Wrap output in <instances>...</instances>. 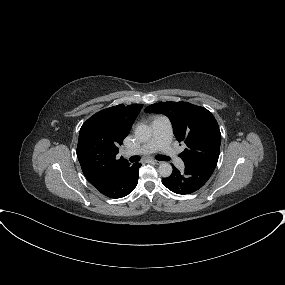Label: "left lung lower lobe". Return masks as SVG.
<instances>
[{
	"label": "left lung lower lobe",
	"instance_id": "1",
	"mask_svg": "<svg viewBox=\"0 0 285 285\" xmlns=\"http://www.w3.org/2000/svg\"><path fill=\"white\" fill-rule=\"evenodd\" d=\"M173 166V165H172ZM216 164L209 162L185 165L183 172L173 166L172 174L162 179L169 190L177 194H191L200 189L212 175Z\"/></svg>",
	"mask_w": 285,
	"mask_h": 285
}]
</instances>
